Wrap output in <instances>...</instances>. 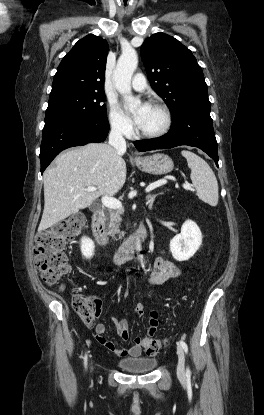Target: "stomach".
Segmentation results:
<instances>
[{
    "instance_id": "stomach-1",
    "label": "stomach",
    "mask_w": 264,
    "mask_h": 415,
    "mask_svg": "<svg viewBox=\"0 0 264 415\" xmlns=\"http://www.w3.org/2000/svg\"><path fill=\"white\" fill-rule=\"evenodd\" d=\"M136 166L143 172L153 175L170 173L174 168L172 159L162 153L142 157L135 161Z\"/></svg>"
}]
</instances>
